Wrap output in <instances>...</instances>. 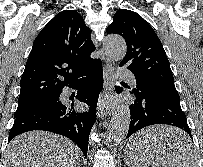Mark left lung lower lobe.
Segmentation results:
<instances>
[{
	"mask_svg": "<svg viewBox=\"0 0 203 167\" xmlns=\"http://www.w3.org/2000/svg\"><path fill=\"white\" fill-rule=\"evenodd\" d=\"M135 100L129 105L131 122L127 138L138 130L154 124H167L181 128L191 136L186 116L180 106L178 93H161L155 88H144L140 91L130 90ZM190 138L178 146L186 149L190 146ZM193 140V139H192ZM148 146H156L154 142H146Z\"/></svg>",
	"mask_w": 203,
	"mask_h": 167,
	"instance_id": "left-lung-lower-lobe-1",
	"label": "left lung lower lobe"
}]
</instances>
